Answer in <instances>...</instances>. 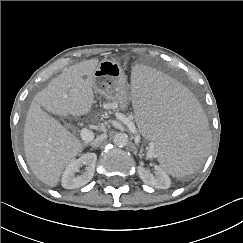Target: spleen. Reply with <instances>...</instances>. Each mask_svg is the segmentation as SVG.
<instances>
[{"label": "spleen", "mask_w": 243, "mask_h": 243, "mask_svg": "<svg viewBox=\"0 0 243 243\" xmlns=\"http://www.w3.org/2000/svg\"><path fill=\"white\" fill-rule=\"evenodd\" d=\"M131 107L138 133L172 175L190 174L208 151L209 132L193 98L180 84L147 67L131 74Z\"/></svg>", "instance_id": "1"}]
</instances>
